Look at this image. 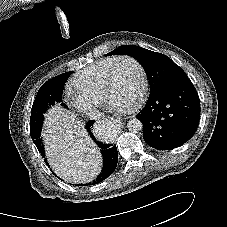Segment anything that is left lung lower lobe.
<instances>
[{"label":"left lung lower lobe","instance_id":"1","mask_svg":"<svg viewBox=\"0 0 227 227\" xmlns=\"http://www.w3.org/2000/svg\"><path fill=\"white\" fill-rule=\"evenodd\" d=\"M143 124L145 142L158 150L177 148L195 133L200 119L198 93L188 77L150 93L136 115Z\"/></svg>","mask_w":227,"mask_h":227}]
</instances>
